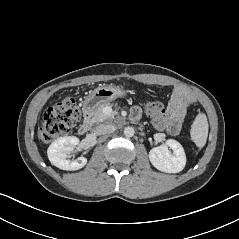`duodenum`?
<instances>
[{
  "label": "duodenum",
  "instance_id": "410a0bca",
  "mask_svg": "<svg viewBox=\"0 0 239 239\" xmlns=\"http://www.w3.org/2000/svg\"><path fill=\"white\" fill-rule=\"evenodd\" d=\"M92 126L91 115L89 112H86L84 115L83 122L80 124L78 128V134L84 135L86 134Z\"/></svg>",
  "mask_w": 239,
  "mask_h": 239
}]
</instances>
